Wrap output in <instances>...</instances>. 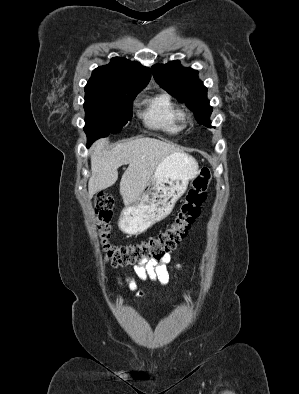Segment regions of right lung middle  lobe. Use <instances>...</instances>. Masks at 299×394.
Segmentation results:
<instances>
[{
  "label": "right lung middle lobe",
  "instance_id": "right-lung-middle-lobe-1",
  "mask_svg": "<svg viewBox=\"0 0 299 394\" xmlns=\"http://www.w3.org/2000/svg\"><path fill=\"white\" fill-rule=\"evenodd\" d=\"M139 92H85V127L88 143L110 133H118L132 118L133 100Z\"/></svg>",
  "mask_w": 299,
  "mask_h": 394
}]
</instances>
